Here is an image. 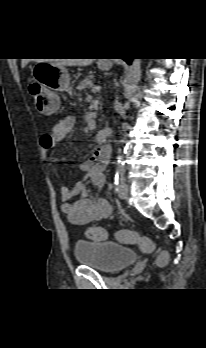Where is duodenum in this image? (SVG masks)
<instances>
[{
  "label": "duodenum",
  "mask_w": 206,
  "mask_h": 348,
  "mask_svg": "<svg viewBox=\"0 0 206 348\" xmlns=\"http://www.w3.org/2000/svg\"><path fill=\"white\" fill-rule=\"evenodd\" d=\"M111 134L112 130L110 128L99 130L95 134V141L102 144V146L107 147L106 143L109 141Z\"/></svg>",
  "instance_id": "duodenum-1"
}]
</instances>
